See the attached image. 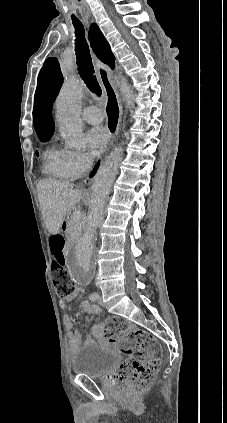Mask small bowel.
<instances>
[{"mask_svg": "<svg viewBox=\"0 0 227 423\" xmlns=\"http://www.w3.org/2000/svg\"><path fill=\"white\" fill-rule=\"evenodd\" d=\"M64 256H65V248H64ZM75 293L68 296V297H63L60 299V306L61 307H66L68 302L74 297ZM81 307L89 314V315H98L101 312V309L99 306L95 305V304H91L88 301H82L81 303ZM63 323L64 326L67 330V337L70 343V347L72 350H75L79 344H80V340H81V335L80 332L77 330H72V320L71 317L69 315H65L63 317ZM93 333L95 335V337L104 342L105 341V336H104V329L101 325H97L93 328ZM88 341H92V339H88Z\"/></svg>", "mask_w": 227, "mask_h": 423, "instance_id": "1", "label": "small bowel"}]
</instances>
